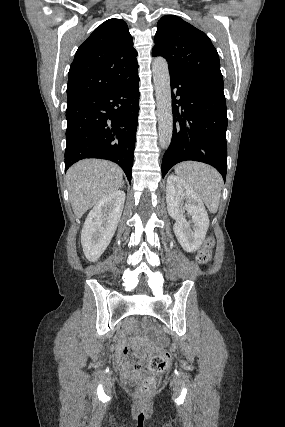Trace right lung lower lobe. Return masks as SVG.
Here are the masks:
<instances>
[{
  "label": "right lung lower lobe",
  "mask_w": 285,
  "mask_h": 427,
  "mask_svg": "<svg viewBox=\"0 0 285 427\" xmlns=\"http://www.w3.org/2000/svg\"><path fill=\"white\" fill-rule=\"evenodd\" d=\"M139 77L67 104L65 170L86 158L117 163L131 182L139 111Z\"/></svg>",
  "instance_id": "98d812e1"
}]
</instances>
